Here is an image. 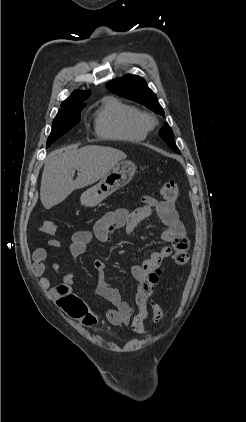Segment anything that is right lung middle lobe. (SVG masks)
<instances>
[{
  "label": "right lung middle lobe",
  "mask_w": 246,
  "mask_h": 422,
  "mask_svg": "<svg viewBox=\"0 0 246 422\" xmlns=\"http://www.w3.org/2000/svg\"><path fill=\"white\" fill-rule=\"evenodd\" d=\"M85 106L62 107L59 110L53 121L52 131L47 139V147L80 122V113Z\"/></svg>",
  "instance_id": "obj_1"
}]
</instances>
